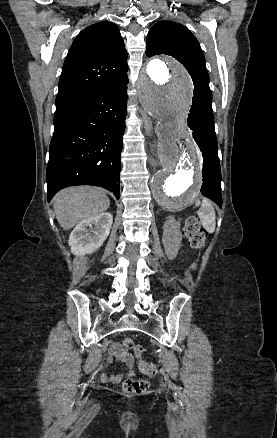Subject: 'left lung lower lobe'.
Here are the masks:
<instances>
[{"mask_svg": "<svg viewBox=\"0 0 277 438\" xmlns=\"http://www.w3.org/2000/svg\"><path fill=\"white\" fill-rule=\"evenodd\" d=\"M188 125L193 130V138L204 158L201 193L222 207L221 170L212 107L202 108L192 105L188 116Z\"/></svg>", "mask_w": 277, "mask_h": 438, "instance_id": "left-lung-lower-lobe-1", "label": "left lung lower lobe"}]
</instances>
